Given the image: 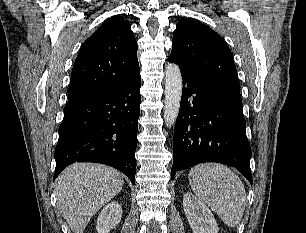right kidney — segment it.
<instances>
[{"label":"right kidney","mask_w":306,"mask_h":233,"mask_svg":"<svg viewBox=\"0 0 306 233\" xmlns=\"http://www.w3.org/2000/svg\"><path fill=\"white\" fill-rule=\"evenodd\" d=\"M122 207L118 202H110L100 212L96 229L98 233H109L120 222Z\"/></svg>","instance_id":"1"}]
</instances>
